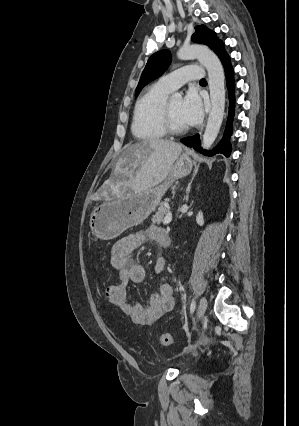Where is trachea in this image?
Wrapping results in <instances>:
<instances>
[{"mask_svg": "<svg viewBox=\"0 0 299 426\" xmlns=\"http://www.w3.org/2000/svg\"><path fill=\"white\" fill-rule=\"evenodd\" d=\"M200 83H206V80L203 78L200 80Z\"/></svg>", "mask_w": 299, "mask_h": 426, "instance_id": "3493384b", "label": "trachea"}]
</instances>
